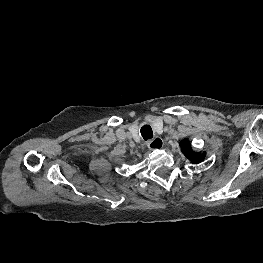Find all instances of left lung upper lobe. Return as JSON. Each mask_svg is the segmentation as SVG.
Wrapping results in <instances>:
<instances>
[{"label":"left lung upper lobe","mask_w":263,"mask_h":263,"mask_svg":"<svg viewBox=\"0 0 263 263\" xmlns=\"http://www.w3.org/2000/svg\"><path fill=\"white\" fill-rule=\"evenodd\" d=\"M180 147H181L183 154L194 164L199 163L206 156V152H203V153L194 152L192 150V147H191L189 140H187V139H184L180 142Z\"/></svg>","instance_id":"1"}]
</instances>
